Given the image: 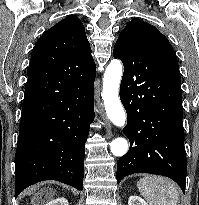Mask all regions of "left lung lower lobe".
<instances>
[{"label":"left lung lower lobe","mask_w":199,"mask_h":205,"mask_svg":"<svg viewBox=\"0 0 199 205\" xmlns=\"http://www.w3.org/2000/svg\"><path fill=\"white\" fill-rule=\"evenodd\" d=\"M113 56L124 65L120 99L128 116L123 133L130 141L117 163V183L134 173H150L171 178L185 192L180 84L153 54L127 38H118Z\"/></svg>","instance_id":"1"}]
</instances>
